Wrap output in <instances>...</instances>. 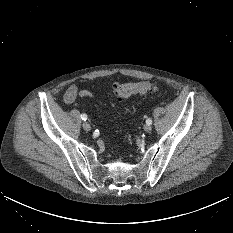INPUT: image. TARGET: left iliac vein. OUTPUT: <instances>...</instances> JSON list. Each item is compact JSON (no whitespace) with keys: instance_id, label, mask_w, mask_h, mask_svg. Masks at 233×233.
Masks as SVG:
<instances>
[{"instance_id":"obj_1","label":"left iliac vein","mask_w":233,"mask_h":233,"mask_svg":"<svg viewBox=\"0 0 233 233\" xmlns=\"http://www.w3.org/2000/svg\"><path fill=\"white\" fill-rule=\"evenodd\" d=\"M151 129H152V127H151V125H149V124H146V125L144 126V130H145L146 132L151 131Z\"/></svg>"}]
</instances>
